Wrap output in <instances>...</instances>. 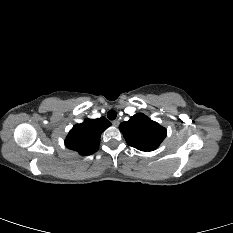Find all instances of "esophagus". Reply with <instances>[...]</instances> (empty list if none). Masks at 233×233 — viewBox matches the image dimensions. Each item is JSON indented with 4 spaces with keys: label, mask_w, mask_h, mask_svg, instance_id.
Segmentation results:
<instances>
[{
    "label": "esophagus",
    "mask_w": 233,
    "mask_h": 233,
    "mask_svg": "<svg viewBox=\"0 0 233 233\" xmlns=\"http://www.w3.org/2000/svg\"><path fill=\"white\" fill-rule=\"evenodd\" d=\"M119 120L112 121L113 126L117 127L119 125Z\"/></svg>",
    "instance_id": "obj_1"
}]
</instances>
